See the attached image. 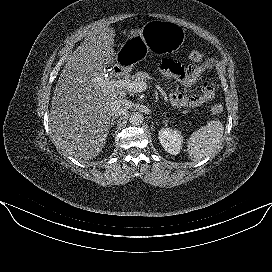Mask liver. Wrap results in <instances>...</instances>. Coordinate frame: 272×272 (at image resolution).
<instances>
[{"mask_svg": "<svg viewBox=\"0 0 272 272\" xmlns=\"http://www.w3.org/2000/svg\"><path fill=\"white\" fill-rule=\"evenodd\" d=\"M139 30H130L128 37ZM115 31L105 27L89 33L72 53L54 89L51 123L56 144L78 159H93L104 147L110 129L111 104L126 96L125 89L102 87L108 81L104 65H110Z\"/></svg>", "mask_w": 272, "mask_h": 272, "instance_id": "liver-1", "label": "liver"}]
</instances>
